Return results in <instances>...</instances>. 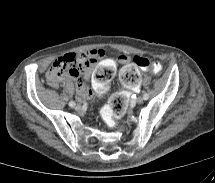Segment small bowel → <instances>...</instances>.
<instances>
[{
	"mask_svg": "<svg viewBox=\"0 0 215 183\" xmlns=\"http://www.w3.org/2000/svg\"><path fill=\"white\" fill-rule=\"evenodd\" d=\"M105 52L101 49H90L84 53H68L55 62H68L75 66L73 73L64 74L55 79L50 69L47 72V80L50 86L57 88L60 82L69 83L72 79L76 81L77 97L80 101L88 98L104 99L110 96L114 87L112 76L119 73L125 63L130 61L127 54H121L108 59L104 58ZM100 65L94 70L96 65ZM94 70V72H93ZM90 77V78H89ZM89 79L90 89L85 84Z\"/></svg>",
	"mask_w": 215,
	"mask_h": 183,
	"instance_id": "1",
	"label": "small bowel"
}]
</instances>
